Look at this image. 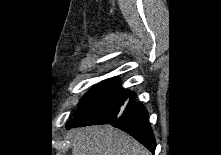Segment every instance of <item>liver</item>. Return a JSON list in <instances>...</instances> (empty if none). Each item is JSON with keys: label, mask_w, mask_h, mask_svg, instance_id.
<instances>
[{"label": "liver", "mask_w": 221, "mask_h": 155, "mask_svg": "<svg viewBox=\"0 0 221 155\" xmlns=\"http://www.w3.org/2000/svg\"><path fill=\"white\" fill-rule=\"evenodd\" d=\"M72 155H149L134 138L110 125L75 130Z\"/></svg>", "instance_id": "liver-1"}]
</instances>
